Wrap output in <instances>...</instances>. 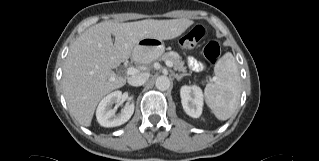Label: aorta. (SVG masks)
Returning a JSON list of instances; mask_svg holds the SVG:
<instances>
[{"instance_id":"1","label":"aorta","mask_w":319,"mask_h":161,"mask_svg":"<svg viewBox=\"0 0 319 161\" xmlns=\"http://www.w3.org/2000/svg\"><path fill=\"white\" fill-rule=\"evenodd\" d=\"M170 79L167 76H159L156 79L155 86L160 91H166L170 87Z\"/></svg>"}]
</instances>
